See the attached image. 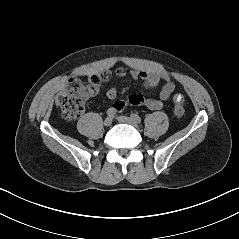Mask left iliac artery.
<instances>
[{"label":"left iliac artery","instance_id":"44dca946","mask_svg":"<svg viewBox=\"0 0 239 239\" xmlns=\"http://www.w3.org/2000/svg\"><path fill=\"white\" fill-rule=\"evenodd\" d=\"M131 118L133 119V120H135L136 122H138V123H141V118H140V116L139 115H137V114H131Z\"/></svg>","mask_w":239,"mask_h":239}]
</instances>
